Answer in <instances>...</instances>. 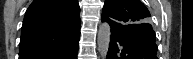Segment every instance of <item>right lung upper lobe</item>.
Here are the masks:
<instances>
[{"mask_svg":"<svg viewBox=\"0 0 193 59\" xmlns=\"http://www.w3.org/2000/svg\"><path fill=\"white\" fill-rule=\"evenodd\" d=\"M77 0H34L25 13L19 58L49 54L80 35Z\"/></svg>","mask_w":193,"mask_h":59,"instance_id":"1","label":"right lung upper lobe"}]
</instances>
